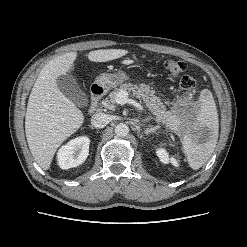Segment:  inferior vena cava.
<instances>
[{
	"mask_svg": "<svg viewBox=\"0 0 247 247\" xmlns=\"http://www.w3.org/2000/svg\"><path fill=\"white\" fill-rule=\"evenodd\" d=\"M108 122H109V117L104 113H95L91 117V124L95 128H103L108 124Z\"/></svg>",
	"mask_w": 247,
	"mask_h": 247,
	"instance_id": "1",
	"label": "inferior vena cava"
}]
</instances>
